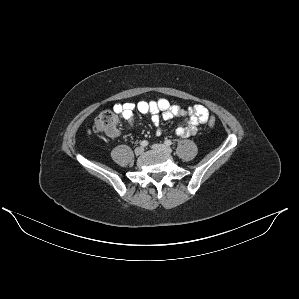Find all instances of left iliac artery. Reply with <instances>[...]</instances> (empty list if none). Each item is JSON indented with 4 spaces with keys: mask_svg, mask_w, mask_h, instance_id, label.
Listing matches in <instances>:
<instances>
[{
    "mask_svg": "<svg viewBox=\"0 0 299 299\" xmlns=\"http://www.w3.org/2000/svg\"><path fill=\"white\" fill-rule=\"evenodd\" d=\"M164 143H165L166 145H168V146L172 145V141L169 140V139H166V140L164 141Z\"/></svg>",
    "mask_w": 299,
    "mask_h": 299,
    "instance_id": "44dca946",
    "label": "left iliac artery"
}]
</instances>
